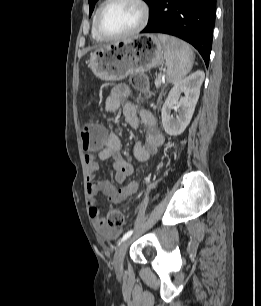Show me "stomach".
Segmentation results:
<instances>
[{"label": "stomach", "instance_id": "1", "mask_svg": "<svg viewBox=\"0 0 261 306\" xmlns=\"http://www.w3.org/2000/svg\"><path fill=\"white\" fill-rule=\"evenodd\" d=\"M164 47L155 34H141L107 45L90 54L88 67L103 81H120L158 67Z\"/></svg>", "mask_w": 261, "mask_h": 306}]
</instances>
